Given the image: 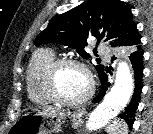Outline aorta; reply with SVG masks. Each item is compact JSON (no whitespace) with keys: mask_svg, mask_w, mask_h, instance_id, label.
<instances>
[{"mask_svg":"<svg viewBox=\"0 0 153 134\" xmlns=\"http://www.w3.org/2000/svg\"><path fill=\"white\" fill-rule=\"evenodd\" d=\"M134 82L128 64L119 62L115 83L102 103L92 112L88 130H96L117 116L128 104L133 93Z\"/></svg>","mask_w":153,"mask_h":134,"instance_id":"1","label":"aorta"}]
</instances>
